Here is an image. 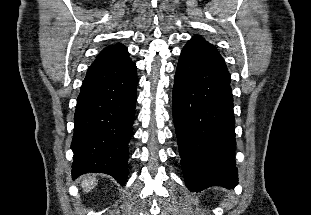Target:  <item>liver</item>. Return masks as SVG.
I'll return each instance as SVG.
<instances>
[{
    "instance_id": "1",
    "label": "liver",
    "mask_w": 311,
    "mask_h": 215,
    "mask_svg": "<svg viewBox=\"0 0 311 215\" xmlns=\"http://www.w3.org/2000/svg\"><path fill=\"white\" fill-rule=\"evenodd\" d=\"M97 184V180L95 176L88 174L83 177V180L81 182V186L84 189L85 192H89L92 190Z\"/></svg>"
}]
</instances>
